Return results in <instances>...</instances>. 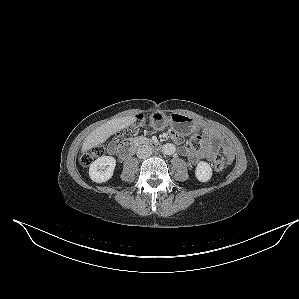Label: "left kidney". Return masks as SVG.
I'll use <instances>...</instances> for the list:
<instances>
[{
	"label": "left kidney",
	"instance_id": "obj_1",
	"mask_svg": "<svg viewBox=\"0 0 299 299\" xmlns=\"http://www.w3.org/2000/svg\"><path fill=\"white\" fill-rule=\"evenodd\" d=\"M195 176L200 182H208L212 177L211 166L207 162H199L195 170Z\"/></svg>",
	"mask_w": 299,
	"mask_h": 299
}]
</instances>
